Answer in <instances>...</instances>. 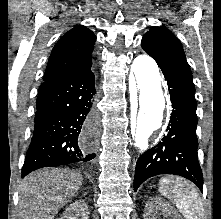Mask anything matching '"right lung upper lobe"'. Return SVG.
Segmentation results:
<instances>
[{
  "label": "right lung upper lobe",
  "instance_id": "1",
  "mask_svg": "<svg viewBox=\"0 0 221 219\" xmlns=\"http://www.w3.org/2000/svg\"><path fill=\"white\" fill-rule=\"evenodd\" d=\"M96 36L83 25H77L60 38L49 57L44 82L74 73L92 62Z\"/></svg>",
  "mask_w": 221,
  "mask_h": 219
}]
</instances>
